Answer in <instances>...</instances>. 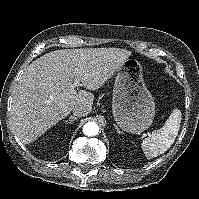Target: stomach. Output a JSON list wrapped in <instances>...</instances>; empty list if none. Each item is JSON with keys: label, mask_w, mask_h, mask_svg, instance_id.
Segmentation results:
<instances>
[{"label": "stomach", "mask_w": 199, "mask_h": 199, "mask_svg": "<svg viewBox=\"0 0 199 199\" xmlns=\"http://www.w3.org/2000/svg\"><path fill=\"white\" fill-rule=\"evenodd\" d=\"M112 110L116 123L130 133L148 129L154 119L155 103L143 80V69L133 58L116 70Z\"/></svg>", "instance_id": "0dacf381"}]
</instances>
